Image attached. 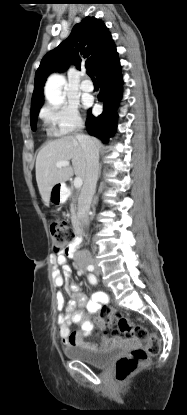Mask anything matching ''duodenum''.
I'll return each mask as SVG.
<instances>
[{"label": "duodenum", "mask_w": 187, "mask_h": 415, "mask_svg": "<svg viewBox=\"0 0 187 415\" xmlns=\"http://www.w3.org/2000/svg\"><path fill=\"white\" fill-rule=\"evenodd\" d=\"M61 192H62L63 194H65V193L67 192V189H66L65 187H62ZM76 232H77V238H76V240H75L74 245L71 247V249H70V251H69V253H70L71 255H73V254H74V252L77 250V248L79 247V245H80V243H81V240H82L81 228H80V226H79V225H77V226H76Z\"/></svg>", "instance_id": "obj_1"}]
</instances>
